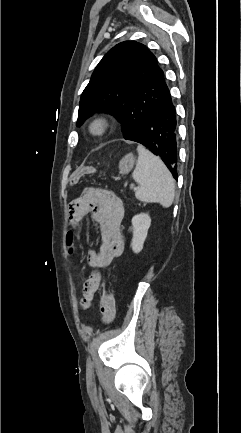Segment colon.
<instances>
[{"instance_id": "5ec220e1", "label": "colon", "mask_w": 241, "mask_h": 433, "mask_svg": "<svg viewBox=\"0 0 241 433\" xmlns=\"http://www.w3.org/2000/svg\"><path fill=\"white\" fill-rule=\"evenodd\" d=\"M72 173L71 178L68 180L70 185H73L81 177H91L93 171L91 168H74ZM67 236L76 238L78 231L73 226H70L67 229ZM69 245H74V240H69ZM69 249H72V246H69ZM88 286L92 289H99L102 298V322L106 325L110 324L115 316L112 284L102 281L100 276L94 274L91 276Z\"/></svg>"}]
</instances>
